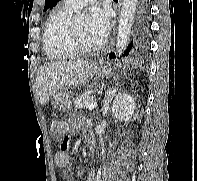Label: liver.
<instances>
[{
    "label": "liver",
    "instance_id": "obj_1",
    "mask_svg": "<svg viewBox=\"0 0 197 181\" xmlns=\"http://www.w3.org/2000/svg\"><path fill=\"white\" fill-rule=\"evenodd\" d=\"M98 66L81 60H63L43 65L37 73L36 94L41 104L66 86H77L93 78Z\"/></svg>",
    "mask_w": 197,
    "mask_h": 181
}]
</instances>
